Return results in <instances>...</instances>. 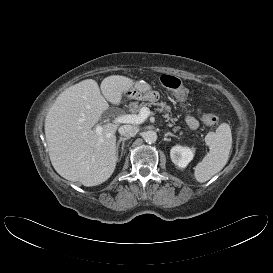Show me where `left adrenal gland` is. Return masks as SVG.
I'll return each mask as SVG.
<instances>
[{"label": "left adrenal gland", "mask_w": 273, "mask_h": 273, "mask_svg": "<svg viewBox=\"0 0 273 273\" xmlns=\"http://www.w3.org/2000/svg\"><path fill=\"white\" fill-rule=\"evenodd\" d=\"M165 137L167 136H172V137H177L175 134L171 133V132H167L164 134Z\"/></svg>", "instance_id": "a2214340"}]
</instances>
